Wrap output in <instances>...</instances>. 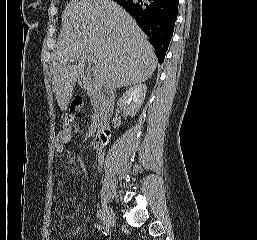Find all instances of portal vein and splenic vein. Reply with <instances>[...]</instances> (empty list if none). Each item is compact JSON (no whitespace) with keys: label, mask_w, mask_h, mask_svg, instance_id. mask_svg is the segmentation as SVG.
<instances>
[{"label":"portal vein and splenic vein","mask_w":257,"mask_h":240,"mask_svg":"<svg viewBox=\"0 0 257 240\" xmlns=\"http://www.w3.org/2000/svg\"><path fill=\"white\" fill-rule=\"evenodd\" d=\"M85 59L88 60L89 64H95V67L92 69L93 74L95 76L96 79V83L98 86L102 85V81L100 80L99 76H98V65H97V61L95 60V58L92 55H87L85 56Z\"/></svg>","instance_id":"obj_1"}]
</instances>
